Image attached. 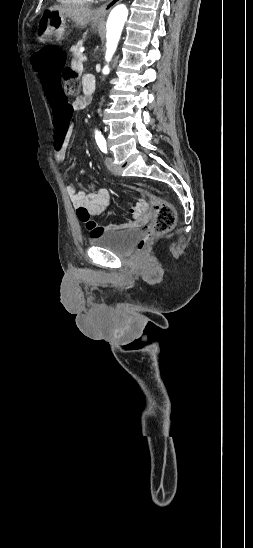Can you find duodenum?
Masks as SVG:
<instances>
[{
  "instance_id": "1",
  "label": "duodenum",
  "mask_w": 253,
  "mask_h": 548,
  "mask_svg": "<svg viewBox=\"0 0 253 548\" xmlns=\"http://www.w3.org/2000/svg\"><path fill=\"white\" fill-rule=\"evenodd\" d=\"M94 89H95V81H94L93 78L89 77L84 82L83 91H84L85 96L90 97L91 94L93 93Z\"/></svg>"
}]
</instances>
